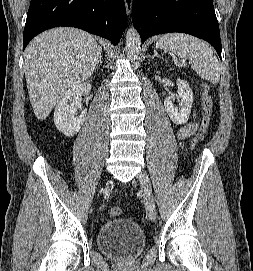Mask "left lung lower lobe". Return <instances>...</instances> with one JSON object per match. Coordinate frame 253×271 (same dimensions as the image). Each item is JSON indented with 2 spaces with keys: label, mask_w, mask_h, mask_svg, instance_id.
<instances>
[{
  "label": "left lung lower lobe",
  "mask_w": 253,
  "mask_h": 271,
  "mask_svg": "<svg viewBox=\"0 0 253 271\" xmlns=\"http://www.w3.org/2000/svg\"><path fill=\"white\" fill-rule=\"evenodd\" d=\"M132 21L144 42L152 35L182 32L208 41L221 57L212 0H133Z\"/></svg>",
  "instance_id": "obj_1"
}]
</instances>
